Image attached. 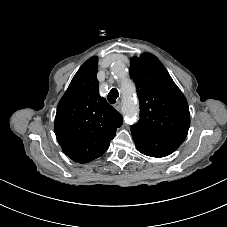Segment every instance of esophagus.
I'll return each mask as SVG.
<instances>
[{
    "instance_id": "34e87169",
    "label": "esophagus",
    "mask_w": 227,
    "mask_h": 227,
    "mask_svg": "<svg viewBox=\"0 0 227 227\" xmlns=\"http://www.w3.org/2000/svg\"><path fill=\"white\" fill-rule=\"evenodd\" d=\"M114 108L118 111V112H121L122 110V105L120 102H117L114 104Z\"/></svg>"
}]
</instances>
